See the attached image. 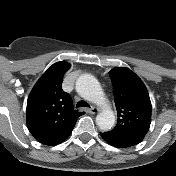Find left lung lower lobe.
<instances>
[{"mask_svg": "<svg viewBox=\"0 0 176 176\" xmlns=\"http://www.w3.org/2000/svg\"><path fill=\"white\" fill-rule=\"evenodd\" d=\"M101 136L103 137V139H105L108 143H110L111 145L118 147V148H125V147H130L132 146L131 144L123 141L122 139L111 135L110 133L106 132V133H100Z\"/></svg>", "mask_w": 176, "mask_h": 176, "instance_id": "0a47b994", "label": "left lung lower lobe"}]
</instances>
